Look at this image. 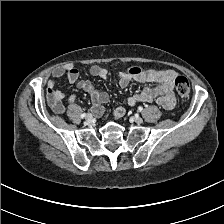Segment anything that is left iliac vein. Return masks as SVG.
<instances>
[{
  "instance_id": "left-iliac-vein-1",
  "label": "left iliac vein",
  "mask_w": 224,
  "mask_h": 224,
  "mask_svg": "<svg viewBox=\"0 0 224 224\" xmlns=\"http://www.w3.org/2000/svg\"><path fill=\"white\" fill-rule=\"evenodd\" d=\"M134 121L137 124H142L143 123V119L139 116L134 117Z\"/></svg>"
}]
</instances>
